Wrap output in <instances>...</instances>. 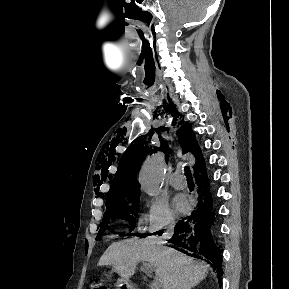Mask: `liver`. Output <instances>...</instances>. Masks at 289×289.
<instances>
[{"label":"liver","instance_id":"6515ba94","mask_svg":"<svg viewBox=\"0 0 289 289\" xmlns=\"http://www.w3.org/2000/svg\"><path fill=\"white\" fill-rule=\"evenodd\" d=\"M141 261L155 268L161 286L168 279L172 289H191L206 277L209 267L173 248L137 238L112 243L98 264L110 265L121 277L129 279Z\"/></svg>","mask_w":289,"mask_h":289}]
</instances>
